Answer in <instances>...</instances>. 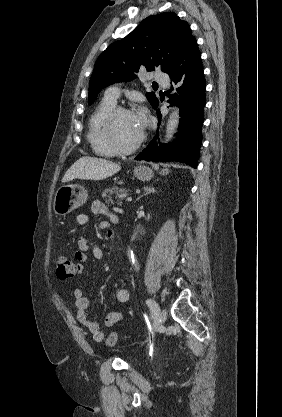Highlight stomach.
I'll return each instance as SVG.
<instances>
[{
    "label": "stomach",
    "instance_id": "obj_1",
    "mask_svg": "<svg viewBox=\"0 0 282 417\" xmlns=\"http://www.w3.org/2000/svg\"><path fill=\"white\" fill-rule=\"evenodd\" d=\"M134 176L139 180H150L154 172L149 166H134ZM168 168H162L160 174H168ZM88 198V190L81 186V184H64L56 190L54 196V211L56 215H68L74 209H78V206H82Z\"/></svg>",
    "mask_w": 282,
    "mask_h": 417
}]
</instances>
